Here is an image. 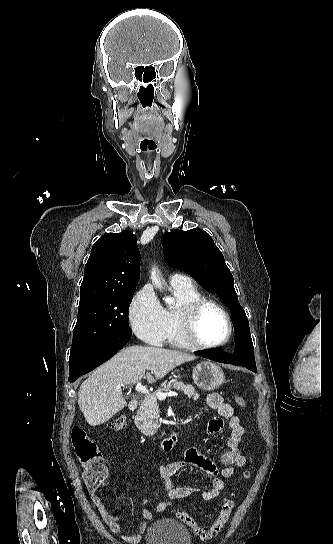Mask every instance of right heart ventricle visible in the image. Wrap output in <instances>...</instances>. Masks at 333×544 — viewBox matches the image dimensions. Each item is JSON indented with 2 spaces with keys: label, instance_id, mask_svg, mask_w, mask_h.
I'll list each match as a JSON object with an SVG mask.
<instances>
[{
  "label": "right heart ventricle",
  "instance_id": "obj_1",
  "mask_svg": "<svg viewBox=\"0 0 333 544\" xmlns=\"http://www.w3.org/2000/svg\"><path fill=\"white\" fill-rule=\"evenodd\" d=\"M172 292L177 303L175 306L164 309L168 325L166 341L175 347L189 348L191 346L185 341L180 331L178 311L183 305L201 298L202 295L193 285L187 287L172 286Z\"/></svg>",
  "mask_w": 333,
  "mask_h": 544
}]
</instances>
